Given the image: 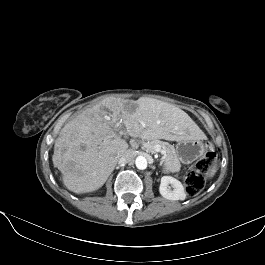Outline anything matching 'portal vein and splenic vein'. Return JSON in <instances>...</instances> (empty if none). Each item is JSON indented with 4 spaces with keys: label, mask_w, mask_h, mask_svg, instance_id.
Segmentation results:
<instances>
[{
    "label": "portal vein and splenic vein",
    "mask_w": 265,
    "mask_h": 265,
    "mask_svg": "<svg viewBox=\"0 0 265 265\" xmlns=\"http://www.w3.org/2000/svg\"><path fill=\"white\" fill-rule=\"evenodd\" d=\"M154 151L155 152H161V154L163 155V159H165V156H166V152L159 146V145H156L154 147Z\"/></svg>",
    "instance_id": "portal-vein-and-splenic-vein-1"
}]
</instances>
